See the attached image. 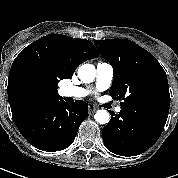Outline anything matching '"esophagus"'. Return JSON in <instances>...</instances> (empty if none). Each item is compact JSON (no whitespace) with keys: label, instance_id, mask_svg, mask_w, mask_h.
Returning a JSON list of instances; mask_svg holds the SVG:
<instances>
[{"label":"esophagus","instance_id":"obj_1","mask_svg":"<svg viewBox=\"0 0 178 178\" xmlns=\"http://www.w3.org/2000/svg\"><path fill=\"white\" fill-rule=\"evenodd\" d=\"M96 110H97V107H91V108L89 109L90 115H92Z\"/></svg>","mask_w":178,"mask_h":178}]
</instances>
